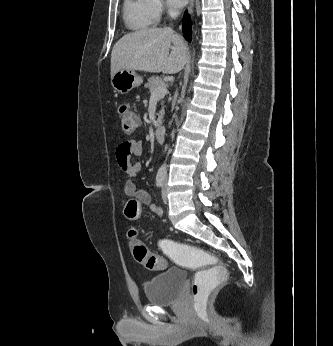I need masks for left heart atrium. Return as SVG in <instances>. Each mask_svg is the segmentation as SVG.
Segmentation results:
<instances>
[{"label": "left heart atrium", "mask_w": 333, "mask_h": 346, "mask_svg": "<svg viewBox=\"0 0 333 346\" xmlns=\"http://www.w3.org/2000/svg\"><path fill=\"white\" fill-rule=\"evenodd\" d=\"M169 5L173 7H182L184 6L188 0H167Z\"/></svg>", "instance_id": "left-heart-atrium-1"}]
</instances>
